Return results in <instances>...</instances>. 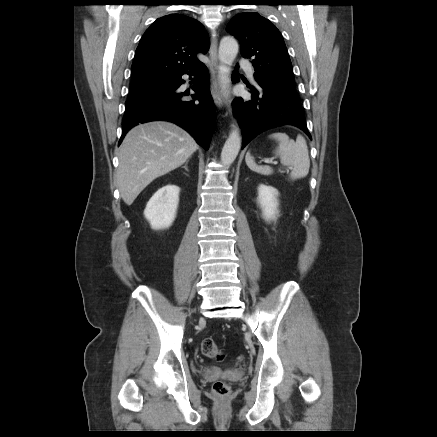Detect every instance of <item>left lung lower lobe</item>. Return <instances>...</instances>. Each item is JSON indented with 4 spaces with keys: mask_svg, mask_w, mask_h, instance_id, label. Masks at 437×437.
Segmentation results:
<instances>
[{
    "mask_svg": "<svg viewBox=\"0 0 437 437\" xmlns=\"http://www.w3.org/2000/svg\"><path fill=\"white\" fill-rule=\"evenodd\" d=\"M238 81V72L235 70L232 82ZM250 90L251 99L239 97L233 101L235 116L243 134L242 148L259 133L285 124L297 126L312 139L306 126L303 107L297 97L261 84L257 88L250 87Z\"/></svg>",
    "mask_w": 437,
    "mask_h": 437,
    "instance_id": "0a47b994",
    "label": "left lung lower lobe"
}]
</instances>
